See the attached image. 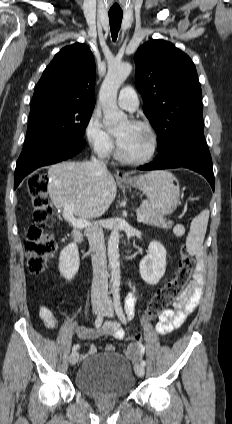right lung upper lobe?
<instances>
[{"label":"right lung upper lobe","instance_id":"obj_1","mask_svg":"<svg viewBox=\"0 0 232 424\" xmlns=\"http://www.w3.org/2000/svg\"><path fill=\"white\" fill-rule=\"evenodd\" d=\"M95 62L89 47L75 43L61 49L44 70L31 108L66 104L94 108Z\"/></svg>","mask_w":232,"mask_h":424}]
</instances>
